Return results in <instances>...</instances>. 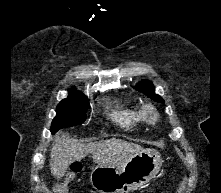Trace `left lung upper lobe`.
I'll return each mask as SVG.
<instances>
[{"label":"left lung upper lobe","mask_w":221,"mask_h":193,"mask_svg":"<svg viewBox=\"0 0 221 193\" xmlns=\"http://www.w3.org/2000/svg\"><path fill=\"white\" fill-rule=\"evenodd\" d=\"M136 90L143 92L145 95L150 97L151 99L163 103L164 100L154 93V86L150 81L143 80L139 84L136 85Z\"/></svg>","instance_id":"5c2ea615"}]
</instances>
